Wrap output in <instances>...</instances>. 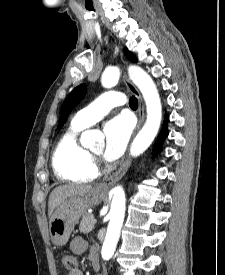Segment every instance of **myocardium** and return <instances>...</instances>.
<instances>
[{
    "label": "myocardium",
    "instance_id": "f54148a6",
    "mask_svg": "<svg viewBox=\"0 0 225 275\" xmlns=\"http://www.w3.org/2000/svg\"><path fill=\"white\" fill-rule=\"evenodd\" d=\"M91 155L92 157L95 158L94 167L96 168V170L100 169V165H101L100 154L93 152Z\"/></svg>",
    "mask_w": 225,
    "mask_h": 275
}]
</instances>
